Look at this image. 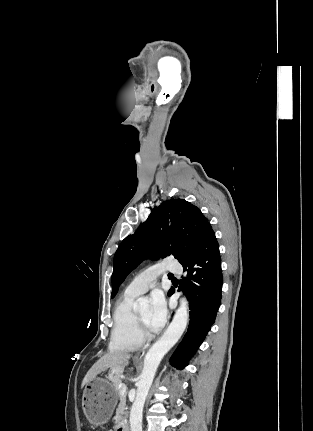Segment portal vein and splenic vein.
I'll use <instances>...</instances> for the list:
<instances>
[{"mask_svg": "<svg viewBox=\"0 0 313 431\" xmlns=\"http://www.w3.org/2000/svg\"><path fill=\"white\" fill-rule=\"evenodd\" d=\"M118 387L120 389L121 395H124L126 393L127 386L124 383H120Z\"/></svg>", "mask_w": 313, "mask_h": 431, "instance_id": "1", "label": "portal vein and splenic vein"}]
</instances>
